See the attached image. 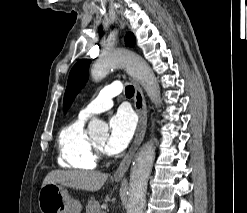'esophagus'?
I'll return each instance as SVG.
<instances>
[{
  "label": "esophagus",
  "mask_w": 247,
  "mask_h": 213,
  "mask_svg": "<svg viewBox=\"0 0 247 213\" xmlns=\"http://www.w3.org/2000/svg\"><path fill=\"white\" fill-rule=\"evenodd\" d=\"M133 84L135 88L134 106L139 116V123L135 134V138L129 151L127 152L126 156L123 158L119 167L113 174V177L115 179H121L125 176V173L127 172L131 164L132 158L136 150L143 141L147 127V106L145 97L139 84L136 81H133Z\"/></svg>",
  "instance_id": "34e87169"
}]
</instances>
